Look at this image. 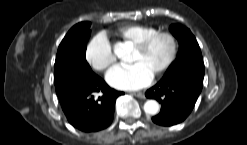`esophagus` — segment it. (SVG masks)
<instances>
[{
  "mask_svg": "<svg viewBox=\"0 0 247 145\" xmlns=\"http://www.w3.org/2000/svg\"><path fill=\"white\" fill-rule=\"evenodd\" d=\"M132 95H134V96H136V97H138V98H140V99H144L145 98V95H144V93L143 92H132Z\"/></svg>",
  "mask_w": 247,
  "mask_h": 145,
  "instance_id": "1",
  "label": "esophagus"
}]
</instances>
